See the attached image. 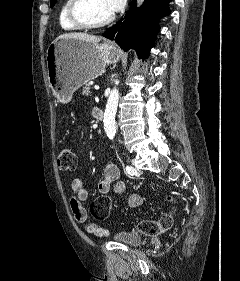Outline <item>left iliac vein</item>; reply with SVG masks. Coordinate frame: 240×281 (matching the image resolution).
<instances>
[{
	"instance_id": "4c4485c4",
	"label": "left iliac vein",
	"mask_w": 240,
	"mask_h": 281,
	"mask_svg": "<svg viewBox=\"0 0 240 281\" xmlns=\"http://www.w3.org/2000/svg\"><path fill=\"white\" fill-rule=\"evenodd\" d=\"M140 173H141L140 170L136 169V174H140Z\"/></svg>"
}]
</instances>
